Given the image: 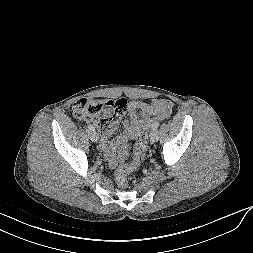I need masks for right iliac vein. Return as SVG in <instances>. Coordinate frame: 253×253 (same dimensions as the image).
<instances>
[{
    "mask_svg": "<svg viewBox=\"0 0 253 253\" xmlns=\"http://www.w3.org/2000/svg\"><path fill=\"white\" fill-rule=\"evenodd\" d=\"M89 138L91 141L97 142L99 140V135L95 131H90Z\"/></svg>",
    "mask_w": 253,
    "mask_h": 253,
    "instance_id": "obj_1",
    "label": "right iliac vein"
}]
</instances>
